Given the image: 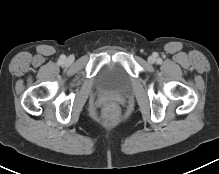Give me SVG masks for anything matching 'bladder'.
<instances>
[{"instance_id":"obj_1","label":"bladder","mask_w":219,"mask_h":174,"mask_svg":"<svg viewBox=\"0 0 219 174\" xmlns=\"http://www.w3.org/2000/svg\"><path fill=\"white\" fill-rule=\"evenodd\" d=\"M131 78L128 72L119 64L106 65L100 75L99 84L102 88L121 92L128 88Z\"/></svg>"}]
</instances>
